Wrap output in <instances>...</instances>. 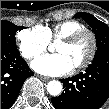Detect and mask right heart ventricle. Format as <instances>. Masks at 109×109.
Listing matches in <instances>:
<instances>
[{
    "label": "right heart ventricle",
    "instance_id": "e07e8e85",
    "mask_svg": "<svg viewBox=\"0 0 109 109\" xmlns=\"http://www.w3.org/2000/svg\"><path fill=\"white\" fill-rule=\"evenodd\" d=\"M47 38L52 41H59L76 31L86 28L85 25L76 20H67L53 25L41 26Z\"/></svg>",
    "mask_w": 109,
    "mask_h": 109
}]
</instances>
